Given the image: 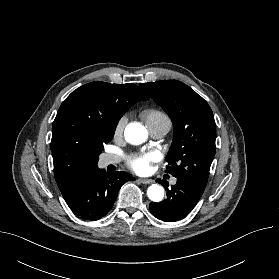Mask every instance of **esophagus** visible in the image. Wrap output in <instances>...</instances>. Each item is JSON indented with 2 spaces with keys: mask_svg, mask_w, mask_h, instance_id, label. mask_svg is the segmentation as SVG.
Segmentation results:
<instances>
[{
  "mask_svg": "<svg viewBox=\"0 0 279 279\" xmlns=\"http://www.w3.org/2000/svg\"><path fill=\"white\" fill-rule=\"evenodd\" d=\"M139 181L143 184H151L154 182L152 179H139Z\"/></svg>",
  "mask_w": 279,
  "mask_h": 279,
  "instance_id": "34e87169",
  "label": "esophagus"
}]
</instances>
